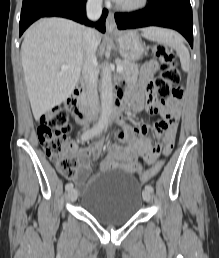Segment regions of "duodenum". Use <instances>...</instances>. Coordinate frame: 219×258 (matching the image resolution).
Returning a JSON list of instances; mask_svg holds the SVG:
<instances>
[{
    "instance_id": "obj_1",
    "label": "duodenum",
    "mask_w": 219,
    "mask_h": 258,
    "mask_svg": "<svg viewBox=\"0 0 219 258\" xmlns=\"http://www.w3.org/2000/svg\"><path fill=\"white\" fill-rule=\"evenodd\" d=\"M85 87L77 86L72 94L70 95L67 104L68 107L73 112V115L78 123L87 124L95 120V110L88 107L84 101ZM125 98L117 95L114 107H113V117L118 119L124 109Z\"/></svg>"
}]
</instances>
